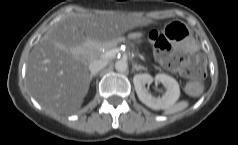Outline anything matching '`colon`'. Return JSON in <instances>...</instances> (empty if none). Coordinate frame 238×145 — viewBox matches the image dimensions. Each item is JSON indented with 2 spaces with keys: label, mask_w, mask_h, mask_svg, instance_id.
Segmentation results:
<instances>
[{
  "label": "colon",
  "mask_w": 238,
  "mask_h": 145,
  "mask_svg": "<svg viewBox=\"0 0 238 145\" xmlns=\"http://www.w3.org/2000/svg\"><path fill=\"white\" fill-rule=\"evenodd\" d=\"M150 39L159 61L169 70L191 78L192 81L187 85V92L191 95L199 94L202 91L201 80L206 74L205 59L199 55L186 56L171 52L169 41L157 31L150 33Z\"/></svg>",
  "instance_id": "5ec220e1"
}]
</instances>
